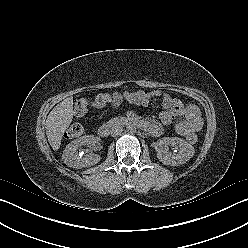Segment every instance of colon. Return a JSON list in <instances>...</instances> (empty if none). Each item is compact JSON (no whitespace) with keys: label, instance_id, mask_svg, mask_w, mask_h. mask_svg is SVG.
<instances>
[{"label":"colon","instance_id":"1","mask_svg":"<svg viewBox=\"0 0 248 248\" xmlns=\"http://www.w3.org/2000/svg\"><path fill=\"white\" fill-rule=\"evenodd\" d=\"M112 100V97L108 94H102L99 95L95 98L93 105L97 106V107H102L108 103H110ZM88 105H89V101L86 98H80L78 100H76L75 104H74V113L76 115V117L81 118L83 116H85V114L87 113L88 110ZM84 129L80 124H72L66 131L65 133V137L69 138V139H75V138H79L83 135ZM198 140V137L196 134L191 135L187 141L191 144L196 143Z\"/></svg>","mask_w":248,"mask_h":248}]
</instances>
